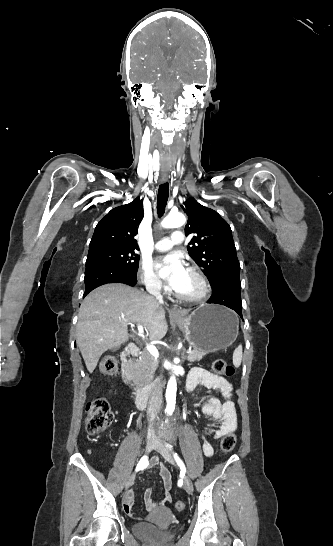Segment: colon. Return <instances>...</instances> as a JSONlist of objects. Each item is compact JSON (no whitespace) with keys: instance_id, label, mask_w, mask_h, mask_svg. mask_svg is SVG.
<instances>
[{"instance_id":"5ec220e1","label":"colon","mask_w":333,"mask_h":546,"mask_svg":"<svg viewBox=\"0 0 333 546\" xmlns=\"http://www.w3.org/2000/svg\"><path fill=\"white\" fill-rule=\"evenodd\" d=\"M212 368L215 374L219 376H232L234 368L223 359H216ZM102 374L113 376L118 373V361L113 355L104 356L98 365ZM112 420V413L108 402L104 398L91 400L86 406L85 427L89 434H98L103 432ZM237 443V437L233 432L225 434L221 440L220 448L223 453L231 452ZM185 504L183 501H177L175 508L178 511L183 510Z\"/></svg>"}]
</instances>
